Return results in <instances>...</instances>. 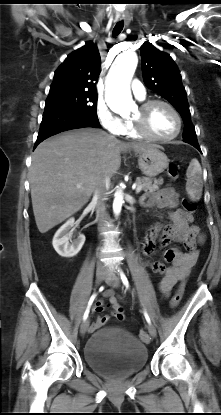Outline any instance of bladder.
Here are the masks:
<instances>
[{
  "instance_id": "31cf9c89",
  "label": "bladder",
  "mask_w": 221,
  "mask_h": 415,
  "mask_svg": "<svg viewBox=\"0 0 221 415\" xmlns=\"http://www.w3.org/2000/svg\"><path fill=\"white\" fill-rule=\"evenodd\" d=\"M84 359L95 372L119 378L142 369L148 360V350L128 331L107 327L92 334L84 348Z\"/></svg>"
}]
</instances>
